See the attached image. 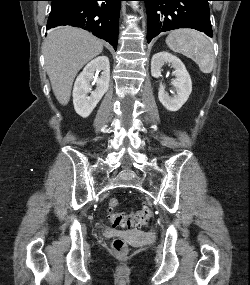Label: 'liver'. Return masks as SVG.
<instances>
[{
    "mask_svg": "<svg viewBox=\"0 0 250 285\" xmlns=\"http://www.w3.org/2000/svg\"><path fill=\"white\" fill-rule=\"evenodd\" d=\"M103 44L91 33L74 27H58L48 34L44 43L45 68L60 104H68L77 73L103 51Z\"/></svg>",
    "mask_w": 250,
    "mask_h": 285,
    "instance_id": "liver-1",
    "label": "liver"
}]
</instances>
